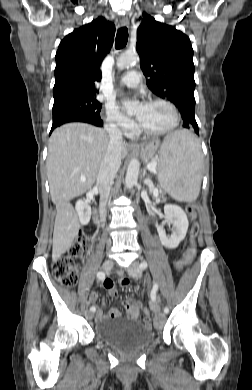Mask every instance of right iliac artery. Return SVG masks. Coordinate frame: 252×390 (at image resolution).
Returning a JSON list of instances; mask_svg holds the SVG:
<instances>
[{
    "mask_svg": "<svg viewBox=\"0 0 252 390\" xmlns=\"http://www.w3.org/2000/svg\"><path fill=\"white\" fill-rule=\"evenodd\" d=\"M104 279H105V273L102 272V271H99V272H98V280L103 281ZM90 310H91L92 312H94V311L96 310V308H95L94 306H92V307L90 308Z\"/></svg>",
    "mask_w": 252,
    "mask_h": 390,
    "instance_id": "obj_1",
    "label": "right iliac artery"
}]
</instances>
